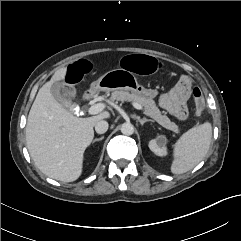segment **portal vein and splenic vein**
<instances>
[{
  "label": "portal vein and splenic vein",
  "instance_id": "18ae733b",
  "mask_svg": "<svg viewBox=\"0 0 241 241\" xmlns=\"http://www.w3.org/2000/svg\"><path fill=\"white\" fill-rule=\"evenodd\" d=\"M133 106L138 109V110H143V107L138 104V103H133ZM105 108V104L104 103H98V104H95L93 106H91L89 109H88V113L90 115H95V114H98L100 113L101 111H103Z\"/></svg>",
  "mask_w": 241,
  "mask_h": 241
}]
</instances>
